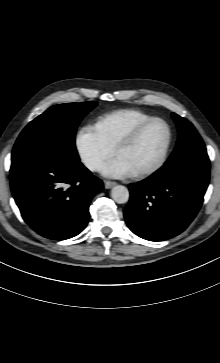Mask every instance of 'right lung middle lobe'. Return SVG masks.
Returning <instances> with one entry per match:
<instances>
[{
	"instance_id": "dd1d6c3e",
	"label": "right lung middle lobe",
	"mask_w": 220,
	"mask_h": 363,
	"mask_svg": "<svg viewBox=\"0 0 220 363\" xmlns=\"http://www.w3.org/2000/svg\"><path fill=\"white\" fill-rule=\"evenodd\" d=\"M96 105L97 102L89 101L50 107L19 135L12 151V165L40 155H54L72 163L79 162L75 147L76 128Z\"/></svg>"
}]
</instances>
